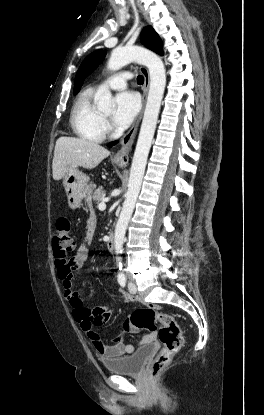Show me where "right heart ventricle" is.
<instances>
[{"instance_id":"right-heart-ventricle-1","label":"right heart ventricle","mask_w":264,"mask_h":415,"mask_svg":"<svg viewBox=\"0 0 264 415\" xmlns=\"http://www.w3.org/2000/svg\"><path fill=\"white\" fill-rule=\"evenodd\" d=\"M94 93L85 90L76 98L70 124L74 134L89 142H102L105 139L104 120L93 103Z\"/></svg>"}]
</instances>
